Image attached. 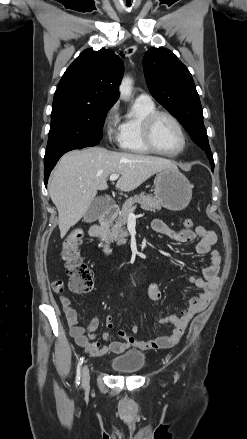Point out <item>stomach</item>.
Listing matches in <instances>:
<instances>
[{"mask_svg": "<svg viewBox=\"0 0 247 439\" xmlns=\"http://www.w3.org/2000/svg\"><path fill=\"white\" fill-rule=\"evenodd\" d=\"M155 199L172 211L185 209L192 198V185L178 168L159 171L154 180Z\"/></svg>", "mask_w": 247, "mask_h": 439, "instance_id": "0dacf381", "label": "stomach"}]
</instances>
